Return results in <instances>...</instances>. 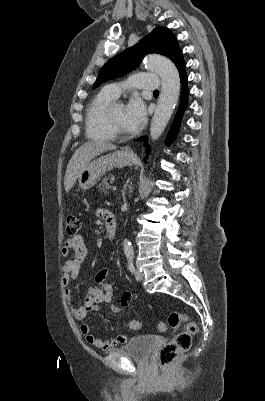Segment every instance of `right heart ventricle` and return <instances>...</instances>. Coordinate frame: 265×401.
<instances>
[{
    "mask_svg": "<svg viewBox=\"0 0 265 401\" xmlns=\"http://www.w3.org/2000/svg\"><path fill=\"white\" fill-rule=\"evenodd\" d=\"M116 97L101 89L88 103L85 114L86 135L95 140L109 141L114 137L106 125V116Z\"/></svg>",
    "mask_w": 265,
    "mask_h": 401,
    "instance_id": "e07e8e85",
    "label": "right heart ventricle"
}]
</instances>
